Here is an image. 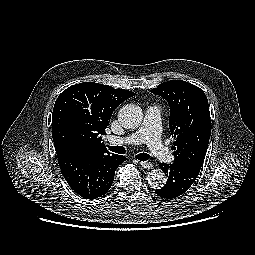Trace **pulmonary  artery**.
I'll list each match as a JSON object with an SVG mask.
<instances>
[{
	"label": "pulmonary artery",
	"instance_id": "pulmonary-artery-1",
	"mask_svg": "<svg viewBox=\"0 0 255 255\" xmlns=\"http://www.w3.org/2000/svg\"><path fill=\"white\" fill-rule=\"evenodd\" d=\"M162 115L163 112L160 107L150 106L147 108L143 122L138 130L124 137L109 136L108 141L111 144L118 145L147 144L157 158L164 162H171L173 154L164 146L160 137Z\"/></svg>",
	"mask_w": 255,
	"mask_h": 255
}]
</instances>
